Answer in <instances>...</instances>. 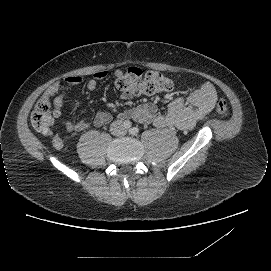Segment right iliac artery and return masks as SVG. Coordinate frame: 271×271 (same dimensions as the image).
Masks as SVG:
<instances>
[{"instance_id":"right-iliac-artery-1","label":"right iliac artery","mask_w":271,"mask_h":271,"mask_svg":"<svg viewBox=\"0 0 271 271\" xmlns=\"http://www.w3.org/2000/svg\"><path fill=\"white\" fill-rule=\"evenodd\" d=\"M131 125H132V123L129 120H126L124 122V127L127 128V129H129L131 127Z\"/></svg>"}]
</instances>
